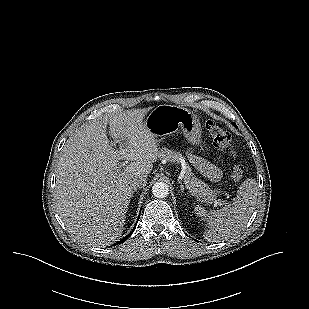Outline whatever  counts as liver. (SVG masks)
<instances>
[{"instance_id": "1", "label": "liver", "mask_w": 309, "mask_h": 309, "mask_svg": "<svg viewBox=\"0 0 309 309\" xmlns=\"http://www.w3.org/2000/svg\"><path fill=\"white\" fill-rule=\"evenodd\" d=\"M147 109L94 120L70 137L56 167L55 207L75 239L90 246L113 244L122 234L134 191L128 182L148 174L160 156L143 121ZM118 144V146H116ZM120 160L133 161L122 166Z\"/></svg>"}]
</instances>
